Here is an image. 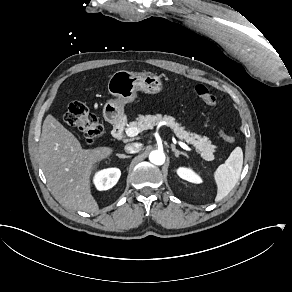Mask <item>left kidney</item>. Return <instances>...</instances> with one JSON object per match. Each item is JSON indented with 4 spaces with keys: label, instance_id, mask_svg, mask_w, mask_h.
Listing matches in <instances>:
<instances>
[{
    "label": "left kidney",
    "instance_id": "obj_1",
    "mask_svg": "<svg viewBox=\"0 0 292 292\" xmlns=\"http://www.w3.org/2000/svg\"><path fill=\"white\" fill-rule=\"evenodd\" d=\"M177 174L184 180H187L192 183L200 184L202 183V179L199 175H197L193 170L190 168L179 167L177 169Z\"/></svg>",
    "mask_w": 292,
    "mask_h": 292
}]
</instances>
